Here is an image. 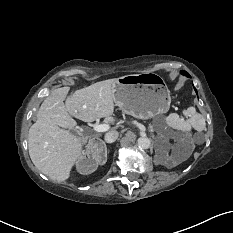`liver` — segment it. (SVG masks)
Listing matches in <instances>:
<instances>
[{
    "label": "liver",
    "instance_id": "6515ba94",
    "mask_svg": "<svg viewBox=\"0 0 233 233\" xmlns=\"http://www.w3.org/2000/svg\"><path fill=\"white\" fill-rule=\"evenodd\" d=\"M115 82L116 79L100 81L74 90L69 97L70 88L61 87L45 98L28 134L29 155L40 172L57 182L69 178L86 140L66 129L75 128L77 123L72 117L84 122L106 118L107 123H113Z\"/></svg>",
    "mask_w": 233,
    "mask_h": 233
}]
</instances>
